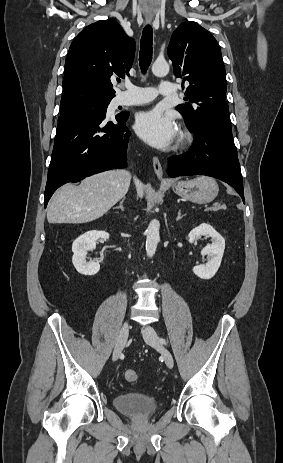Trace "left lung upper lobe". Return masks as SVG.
Listing matches in <instances>:
<instances>
[{
  "label": "left lung upper lobe",
  "mask_w": 283,
  "mask_h": 463,
  "mask_svg": "<svg viewBox=\"0 0 283 463\" xmlns=\"http://www.w3.org/2000/svg\"><path fill=\"white\" fill-rule=\"evenodd\" d=\"M174 74L189 82L185 100L176 109L191 130H213L232 136L227 82L221 50L213 35L196 22H184L173 32L168 50Z\"/></svg>",
  "instance_id": "obj_1"
}]
</instances>
